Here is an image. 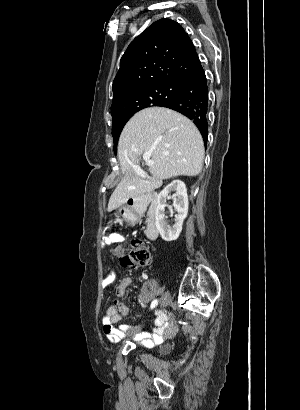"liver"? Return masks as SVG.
Wrapping results in <instances>:
<instances>
[{
	"mask_svg": "<svg viewBox=\"0 0 300 410\" xmlns=\"http://www.w3.org/2000/svg\"><path fill=\"white\" fill-rule=\"evenodd\" d=\"M151 152L149 179L137 173L142 155ZM118 159L124 177L112 193L108 212L130 198L159 188L163 180L200 173L204 143L192 121L164 107H151L136 113L125 125L118 142Z\"/></svg>",
	"mask_w": 300,
	"mask_h": 410,
	"instance_id": "6515ba94",
	"label": "liver"
}]
</instances>
